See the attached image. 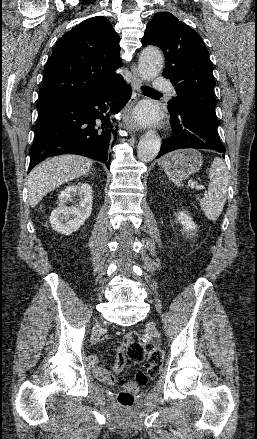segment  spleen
Here are the masks:
<instances>
[{"label":"spleen","mask_w":257,"mask_h":439,"mask_svg":"<svg viewBox=\"0 0 257 439\" xmlns=\"http://www.w3.org/2000/svg\"><path fill=\"white\" fill-rule=\"evenodd\" d=\"M208 172L209 188L207 194L200 200V206L206 218L215 221L221 215L227 199L229 176L224 161L218 157L214 158ZM165 173L175 185H182L179 180L171 176L168 169H165Z\"/></svg>","instance_id":"obj_1"}]
</instances>
